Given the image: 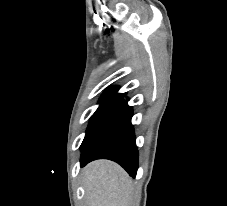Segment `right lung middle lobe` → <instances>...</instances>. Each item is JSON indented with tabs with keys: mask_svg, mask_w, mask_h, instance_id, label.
<instances>
[{
	"mask_svg": "<svg viewBox=\"0 0 227 206\" xmlns=\"http://www.w3.org/2000/svg\"><path fill=\"white\" fill-rule=\"evenodd\" d=\"M117 91V87H111L103 94L99 101V108L91 117L85 138L91 133V131L97 125L102 116L126 95V93L119 94L117 93Z\"/></svg>",
	"mask_w": 227,
	"mask_h": 206,
	"instance_id": "obj_1",
	"label": "right lung middle lobe"
}]
</instances>
